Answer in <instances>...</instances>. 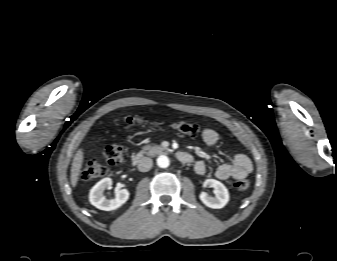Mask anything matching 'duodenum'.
I'll list each match as a JSON object with an SVG mask.
<instances>
[{
	"label": "duodenum",
	"instance_id": "410a0bca",
	"mask_svg": "<svg viewBox=\"0 0 337 261\" xmlns=\"http://www.w3.org/2000/svg\"><path fill=\"white\" fill-rule=\"evenodd\" d=\"M177 158L182 163H189L192 161V156L186 152L178 153ZM142 159H143V156L141 154H136L132 158V164L136 166L142 161Z\"/></svg>",
	"mask_w": 337,
	"mask_h": 261
}]
</instances>
